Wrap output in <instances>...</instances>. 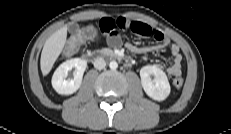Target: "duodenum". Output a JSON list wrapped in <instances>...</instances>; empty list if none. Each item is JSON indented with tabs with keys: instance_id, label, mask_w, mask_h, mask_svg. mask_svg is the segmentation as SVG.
Wrapping results in <instances>:
<instances>
[{
	"instance_id": "duodenum-1",
	"label": "duodenum",
	"mask_w": 231,
	"mask_h": 134,
	"mask_svg": "<svg viewBox=\"0 0 231 134\" xmlns=\"http://www.w3.org/2000/svg\"><path fill=\"white\" fill-rule=\"evenodd\" d=\"M105 56L111 59H119V60H125V62L127 64L130 63V60L124 56L123 54L119 53V52H114V51H110V50H106L100 53H88L85 55L86 59L90 60V61H94L99 59L100 57Z\"/></svg>"
}]
</instances>
